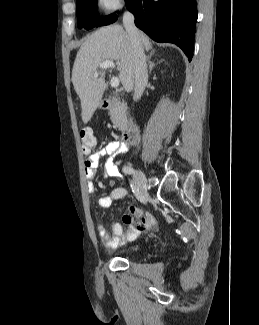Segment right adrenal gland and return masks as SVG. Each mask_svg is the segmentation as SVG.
<instances>
[{"instance_id":"1","label":"right adrenal gland","mask_w":259,"mask_h":325,"mask_svg":"<svg viewBox=\"0 0 259 325\" xmlns=\"http://www.w3.org/2000/svg\"><path fill=\"white\" fill-rule=\"evenodd\" d=\"M155 54V52H151L150 55L147 56V62L149 64V73L152 72L153 67L155 66V64L151 61V57Z\"/></svg>"}]
</instances>
